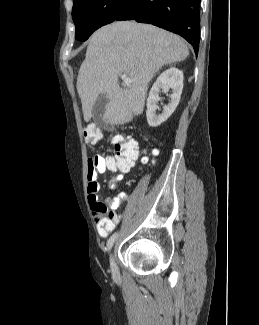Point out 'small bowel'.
<instances>
[{
    "label": "small bowel",
    "mask_w": 259,
    "mask_h": 325,
    "mask_svg": "<svg viewBox=\"0 0 259 325\" xmlns=\"http://www.w3.org/2000/svg\"><path fill=\"white\" fill-rule=\"evenodd\" d=\"M135 144L137 145L136 142ZM137 157L138 156L126 162V164L118 156L96 155L90 158L92 164H90L88 160V202L96 217L98 234L102 238H106L119 222V216L115 213V211L126 200L127 196L124 193H120L115 197L107 198L105 203L100 202L97 195L100 190V186L97 181L98 175L107 171H118L119 173L108 181L109 189L115 190L122 181L124 174L128 173L135 165ZM106 206H108L110 209L108 217H104L106 213Z\"/></svg>",
    "instance_id": "obj_1"
}]
</instances>
